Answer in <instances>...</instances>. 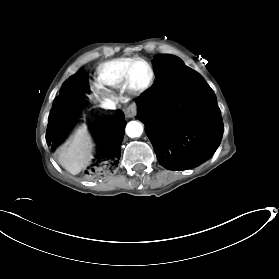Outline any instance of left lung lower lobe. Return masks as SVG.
Instances as JSON below:
<instances>
[{
	"label": "left lung lower lobe",
	"mask_w": 279,
	"mask_h": 279,
	"mask_svg": "<svg viewBox=\"0 0 279 279\" xmlns=\"http://www.w3.org/2000/svg\"><path fill=\"white\" fill-rule=\"evenodd\" d=\"M177 78L166 93L144 92L135 99L160 164L169 170L190 169L208 160L220 145L223 122L215 95L200 74L178 70L175 62L154 69L156 78Z\"/></svg>",
	"instance_id": "left-lung-lower-lobe-1"
}]
</instances>
